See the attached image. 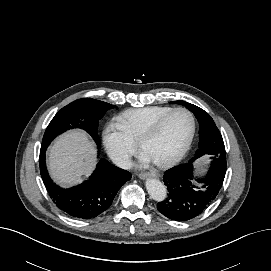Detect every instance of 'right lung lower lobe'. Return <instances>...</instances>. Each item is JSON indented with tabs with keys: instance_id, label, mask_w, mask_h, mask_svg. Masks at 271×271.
<instances>
[{
	"instance_id": "1",
	"label": "right lung lower lobe",
	"mask_w": 271,
	"mask_h": 271,
	"mask_svg": "<svg viewBox=\"0 0 271 271\" xmlns=\"http://www.w3.org/2000/svg\"><path fill=\"white\" fill-rule=\"evenodd\" d=\"M40 173L50 198L68 215L90 219L104 212L131 174L101 159L91 177L81 185L62 189L50 179L45 165V151H40Z\"/></svg>"
}]
</instances>
